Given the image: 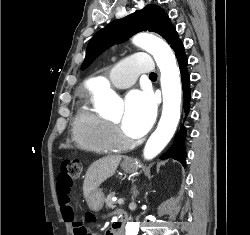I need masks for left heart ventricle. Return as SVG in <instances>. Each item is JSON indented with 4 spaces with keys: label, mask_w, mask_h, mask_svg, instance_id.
Instances as JSON below:
<instances>
[{
    "label": "left heart ventricle",
    "mask_w": 250,
    "mask_h": 235,
    "mask_svg": "<svg viewBox=\"0 0 250 235\" xmlns=\"http://www.w3.org/2000/svg\"><path fill=\"white\" fill-rule=\"evenodd\" d=\"M112 121H114L116 123H121L122 122V113H120L116 117L112 118Z\"/></svg>",
    "instance_id": "1"
}]
</instances>
